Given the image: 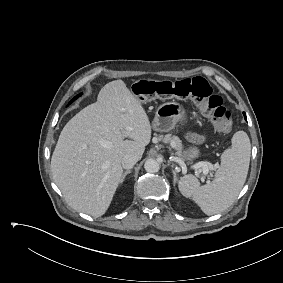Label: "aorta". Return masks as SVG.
Instances as JSON below:
<instances>
[{
	"instance_id": "1",
	"label": "aorta",
	"mask_w": 283,
	"mask_h": 283,
	"mask_svg": "<svg viewBox=\"0 0 283 283\" xmlns=\"http://www.w3.org/2000/svg\"><path fill=\"white\" fill-rule=\"evenodd\" d=\"M144 168L148 173H156L160 169V164L155 159H148L144 164Z\"/></svg>"
}]
</instances>
